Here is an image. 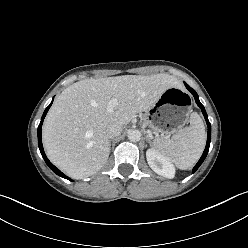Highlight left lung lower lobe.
<instances>
[{"mask_svg":"<svg viewBox=\"0 0 248 248\" xmlns=\"http://www.w3.org/2000/svg\"><path fill=\"white\" fill-rule=\"evenodd\" d=\"M185 86L186 88L192 93V95L194 96L195 98V101L197 103V105L201 108L202 110V113L204 115V118L206 120V123H207V126H208V135H207V143H206V147H205V150L200 158V160L198 161V163L195 165V167L193 168V173L199 168V166L203 163L204 159L206 158L207 156V153L209 151V146H210V141H211V125H210V122L208 120V116L206 114V111H205V108L203 107V105L200 103L199 101V97H198V94L195 92V90H193L189 85H187L185 83Z\"/></svg>","mask_w":248,"mask_h":248,"instance_id":"0a47b994","label":"left lung lower lobe"}]
</instances>
